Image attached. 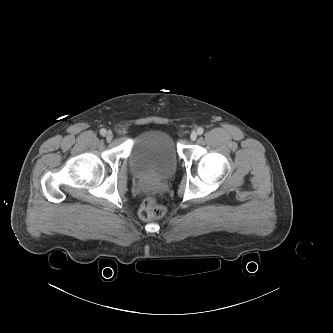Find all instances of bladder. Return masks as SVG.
<instances>
[{
  "mask_svg": "<svg viewBox=\"0 0 333 333\" xmlns=\"http://www.w3.org/2000/svg\"><path fill=\"white\" fill-rule=\"evenodd\" d=\"M128 162L138 177L166 178L177 168L178 154L172 134L163 128L143 131L133 141Z\"/></svg>",
  "mask_w": 333,
  "mask_h": 333,
  "instance_id": "obj_1",
  "label": "bladder"
}]
</instances>
